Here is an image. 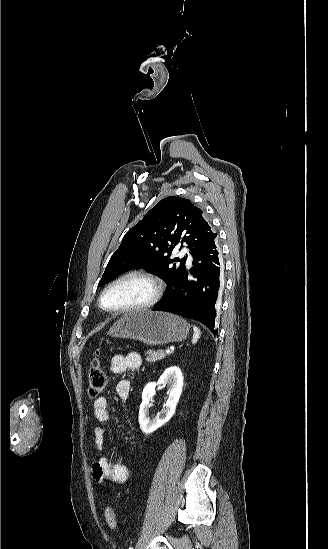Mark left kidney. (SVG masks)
<instances>
[{"label":"left kidney","mask_w":328,"mask_h":549,"mask_svg":"<svg viewBox=\"0 0 328 549\" xmlns=\"http://www.w3.org/2000/svg\"><path fill=\"white\" fill-rule=\"evenodd\" d=\"M157 385H164L167 387L169 393V399L166 401L165 409L157 413V417L151 419L149 417V409L152 405L151 401L156 393L155 387ZM183 389V377L179 367H168L161 375L157 383H148L143 389L142 403L139 409V423L142 429V433L150 435L162 425H165L167 421H170L176 411V405L181 397Z\"/></svg>","instance_id":"left-kidney-1"}]
</instances>
